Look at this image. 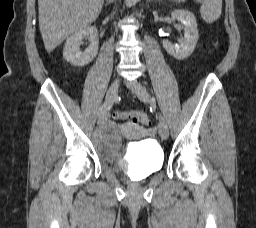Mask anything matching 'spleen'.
Here are the masks:
<instances>
[{
    "label": "spleen",
    "mask_w": 256,
    "mask_h": 228,
    "mask_svg": "<svg viewBox=\"0 0 256 228\" xmlns=\"http://www.w3.org/2000/svg\"><path fill=\"white\" fill-rule=\"evenodd\" d=\"M200 2L201 0H196ZM222 12V0H203L200 7L202 19L207 23H213L220 18Z\"/></svg>",
    "instance_id": "3e777b00"
}]
</instances>
